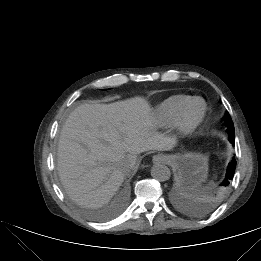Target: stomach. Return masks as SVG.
Instances as JSON below:
<instances>
[{"label": "stomach", "mask_w": 261, "mask_h": 261, "mask_svg": "<svg viewBox=\"0 0 261 261\" xmlns=\"http://www.w3.org/2000/svg\"><path fill=\"white\" fill-rule=\"evenodd\" d=\"M176 172L178 184L187 190H195L205 181L208 159L200 153H181L166 156Z\"/></svg>", "instance_id": "stomach-1"}]
</instances>
